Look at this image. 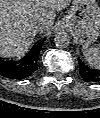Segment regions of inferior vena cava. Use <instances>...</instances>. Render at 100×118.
Returning <instances> with one entry per match:
<instances>
[{
  "label": "inferior vena cava",
  "instance_id": "inferior-vena-cava-1",
  "mask_svg": "<svg viewBox=\"0 0 100 118\" xmlns=\"http://www.w3.org/2000/svg\"><path fill=\"white\" fill-rule=\"evenodd\" d=\"M34 28L37 33H41L46 31L48 29V26L45 24H36Z\"/></svg>",
  "mask_w": 100,
  "mask_h": 118
}]
</instances>
